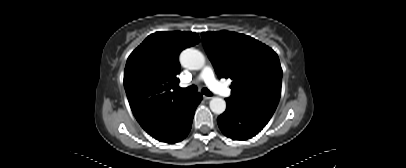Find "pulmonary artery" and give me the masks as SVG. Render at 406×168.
I'll return each instance as SVG.
<instances>
[{"label": "pulmonary artery", "instance_id": "e3ab8cb5", "mask_svg": "<svg viewBox=\"0 0 406 168\" xmlns=\"http://www.w3.org/2000/svg\"><path fill=\"white\" fill-rule=\"evenodd\" d=\"M199 79L202 80L215 93L228 97L231 90L218 82L214 76V72L210 66H205L200 72Z\"/></svg>", "mask_w": 406, "mask_h": 168}]
</instances>
